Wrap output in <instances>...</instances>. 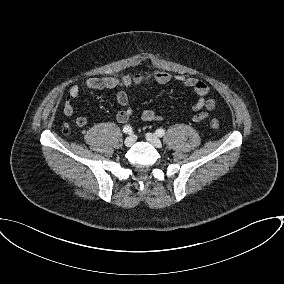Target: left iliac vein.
<instances>
[{"label":"left iliac vein","mask_w":284,"mask_h":284,"mask_svg":"<svg viewBox=\"0 0 284 284\" xmlns=\"http://www.w3.org/2000/svg\"><path fill=\"white\" fill-rule=\"evenodd\" d=\"M146 139H147L148 142H150L153 146H155L157 148L162 146L161 140L152 133H147Z\"/></svg>","instance_id":"obj_1"}]
</instances>
